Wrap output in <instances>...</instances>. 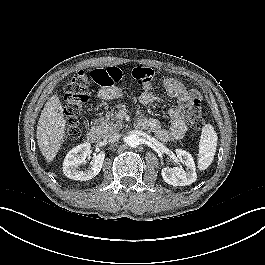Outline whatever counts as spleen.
<instances>
[{
    "label": "spleen",
    "instance_id": "3e777b00",
    "mask_svg": "<svg viewBox=\"0 0 265 265\" xmlns=\"http://www.w3.org/2000/svg\"><path fill=\"white\" fill-rule=\"evenodd\" d=\"M217 139V134L212 125L206 124L203 126L198 153V168L200 170H205L211 165L216 152Z\"/></svg>",
    "mask_w": 265,
    "mask_h": 265
}]
</instances>
